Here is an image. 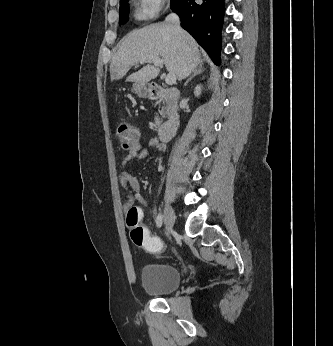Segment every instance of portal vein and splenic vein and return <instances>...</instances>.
Wrapping results in <instances>:
<instances>
[{
	"label": "portal vein and splenic vein",
	"instance_id": "1",
	"mask_svg": "<svg viewBox=\"0 0 333 346\" xmlns=\"http://www.w3.org/2000/svg\"><path fill=\"white\" fill-rule=\"evenodd\" d=\"M152 61L154 63L155 66L157 67H161L162 66V60L160 59V57H149L146 59H143L140 61L141 64L145 63V62H150ZM165 82L167 85H173L176 83V76L175 74L169 73L166 78H165Z\"/></svg>",
	"mask_w": 333,
	"mask_h": 346
}]
</instances>
